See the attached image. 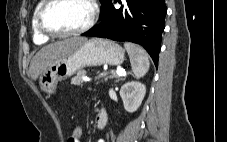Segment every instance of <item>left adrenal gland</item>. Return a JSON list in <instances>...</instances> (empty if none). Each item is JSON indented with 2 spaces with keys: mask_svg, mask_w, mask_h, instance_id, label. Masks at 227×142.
<instances>
[{
  "mask_svg": "<svg viewBox=\"0 0 227 142\" xmlns=\"http://www.w3.org/2000/svg\"><path fill=\"white\" fill-rule=\"evenodd\" d=\"M126 76H127V75H125V76L122 77V78L117 79L115 82L117 83V82H119V81H121V80H125Z\"/></svg>",
  "mask_w": 227,
  "mask_h": 142,
  "instance_id": "a2214340",
  "label": "left adrenal gland"
}]
</instances>
